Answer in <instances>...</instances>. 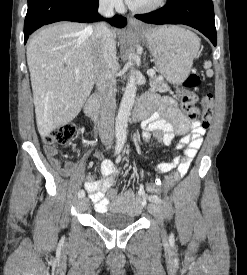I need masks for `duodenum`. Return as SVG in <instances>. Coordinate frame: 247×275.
<instances>
[{"instance_id":"1","label":"duodenum","mask_w":247,"mask_h":275,"mask_svg":"<svg viewBox=\"0 0 247 275\" xmlns=\"http://www.w3.org/2000/svg\"><path fill=\"white\" fill-rule=\"evenodd\" d=\"M85 113L90 117H94L99 119L103 116V112L101 111V105L99 102V95L94 94L90 96L85 104ZM148 113V108L143 103H138L134 107L132 121L137 122L143 119Z\"/></svg>"}]
</instances>
